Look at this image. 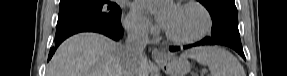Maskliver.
Instances as JSON below:
<instances>
[{
    "label": "liver",
    "instance_id": "obj_1",
    "mask_svg": "<svg viewBox=\"0 0 287 76\" xmlns=\"http://www.w3.org/2000/svg\"><path fill=\"white\" fill-rule=\"evenodd\" d=\"M151 69L146 59L138 76H148ZM47 76H123L122 45L97 33L73 35L56 50Z\"/></svg>",
    "mask_w": 287,
    "mask_h": 76
}]
</instances>
